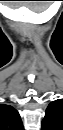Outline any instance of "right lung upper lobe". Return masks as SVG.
<instances>
[{
	"label": "right lung upper lobe",
	"instance_id": "cb5924a9",
	"mask_svg": "<svg viewBox=\"0 0 63 130\" xmlns=\"http://www.w3.org/2000/svg\"><path fill=\"white\" fill-rule=\"evenodd\" d=\"M0 129L23 130L20 115L12 106L0 105Z\"/></svg>",
	"mask_w": 63,
	"mask_h": 130
}]
</instances>
